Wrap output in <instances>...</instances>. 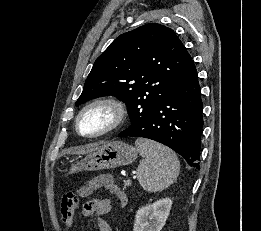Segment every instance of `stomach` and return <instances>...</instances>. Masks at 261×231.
I'll use <instances>...</instances> for the list:
<instances>
[{"instance_id": "1", "label": "stomach", "mask_w": 261, "mask_h": 231, "mask_svg": "<svg viewBox=\"0 0 261 231\" xmlns=\"http://www.w3.org/2000/svg\"><path fill=\"white\" fill-rule=\"evenodd\" d=\"M136 158L137 149L135 147L122 141H112L71 164L69 173L112 169L131 164Z\"/></svg>"}]
</instances>
